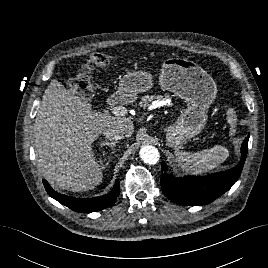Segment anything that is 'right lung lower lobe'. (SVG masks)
Wrapping results in <instances>:
<instances>
[{
	"instance_id": "right-lung-lower-lobe-1",
	"label": "right lung lower lobe",
	"mask_w": 268,
	"mask_h": 268,
	"mask_svg": "<svg viewBox=\"0 0 268 268\" xmlns=\"http://www.w3.org/2000/svg\"><path fill=\"white\" fill-rule=\"evenodd\" d=\"M43 184L47 193L52 198L76 212H94L107 208L116 201L120 192V185L118 180L116 181L113 189L108 194L89 199L74 198L57 193L51 188L46 180H43Z\"/></svg>"
}]
</instances>
